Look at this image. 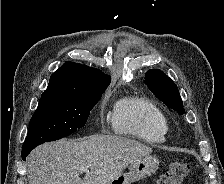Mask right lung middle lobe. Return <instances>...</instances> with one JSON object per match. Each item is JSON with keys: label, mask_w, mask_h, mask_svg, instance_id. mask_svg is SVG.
Returning <instances> with one entry per match:
<instances>
[{"label": "right lung middle lobe", "mask_w": 224, "mask_h": 184, "mask_svg": "<svg viewBox=\"0 0 224 184\" xmlns=\"http://www.w3.org/2000/svg\"><path fill=\"white\" fill-rule=\"evenodd\" d=\"M104 90L71 97L42 96L30 120L22 148H35L44 142L66 137L83 127Z\"/></svg>", "instance_id": "1"}]
</instances>
